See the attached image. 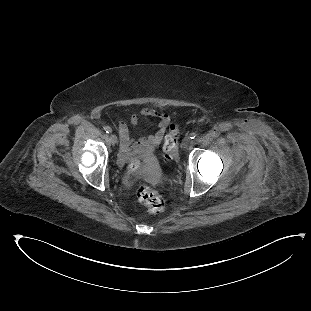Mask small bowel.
<instances>
[{
	"label": "small bowel",
	"instance_id": "c3829d8e",
	"mask_svg": "<svg viewBox=\"0 0 311 311\" xmlns=\"http://www.w3.org/2000/svg\"><path fill=\"white\" fill-rule=\"evenodd\" d=\"M144 117H152L156 120V132L139 139L131 138L130 128L137 125L140 118ZM169 123L170 115L153 106L144 107L137 113L132 114L127 123L120 122L118 131L121 139V151L123 156H127L132 150L152 152L163 140Z\"/></svg>",
	"mask_w": 311,
	"mask_h": 311
}]
</instances>
